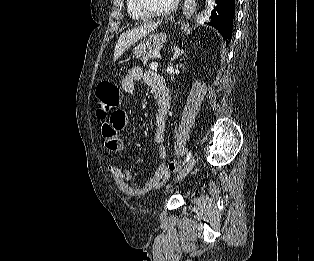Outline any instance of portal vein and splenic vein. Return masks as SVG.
<instances>
[{
  "mask_svg": "<svg viewBox=\"0 0 314 261\" xmlns=\"http://www.w3.org/2000/svg\"><path fill=\"white\" fill-rule=\"evenodd\" d=\"M157 67H158V63L157 62H153V63L150 64V69H152V70H156Z\"/></svg>",
  "mask_w": 314,
  "mask_h": 261,
  "instance_id": "obj_1",
  "label": "portal vein and splenic vein"
}]
</instances>
